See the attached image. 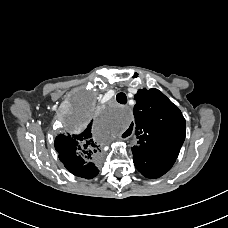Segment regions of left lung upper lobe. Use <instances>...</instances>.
I'll return each mask as SVG.
<instances>
[{"label": "left lung upper lobe", "mask_w": 228, "mask_h": 228, "mask_svg": "<svg viewBox=\"0 0 228 228\" xmlns=\"http://www.w3.org/2000/svg\"><path fill=\"white\" fill-rule=\"evenodd\" d=\"M135 99V135L138 142L132 147V152L176 159L186 132V121L179 108L154 88L139 90Z\"/></svg>", "instance_id": "5c2ea615"}]
</instances>
